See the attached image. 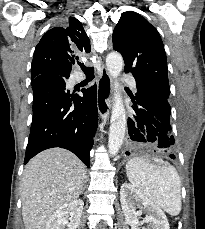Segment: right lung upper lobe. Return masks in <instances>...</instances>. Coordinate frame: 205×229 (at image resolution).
<instances>
[{"instance_id":"obj_1","label":"right lung upper lobe","mask_w":205,"mask_h":229,"mask_svg":"<svg viewBox=\"0 0 205 229\" xmlns=\"http://www.w3.org/2000/svg\"><path fill=\"white\" fill-rule=\"evenodd\" d=\"M90 52V41L79 20L69 17L64 27L47 31L36 46L31 78L53 71L69 77L79 54Z\"/></svg>"}]
</instances>
